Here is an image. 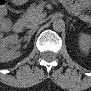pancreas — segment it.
I'll return each instance as SVG.
<instances>
[{
    "label": "pancreas",
    "instance_id": "obj_1",
    "mask_svg": "<svg viewBox=\"0 0 91 91\" xmlns=\"http://www.w3.org/2000/svg\"><path fill=\"white\" fill-rule=\"evenodd\" d=\"M68 7H70L73 11V14L75 16H79L80 18H82L84 21L86 22H90V17L87 15H82L81 12L78 10L77 6L75 5H69ZM43 8L42 6H35V5H31L28 9L27 12L24 14L22 20L24 21V23L26 25L35 22L37 20H39L42 16H43Z\"/></svg>",
    "mask_w": 91,
    "mask_h": 91
}]
</instances>
